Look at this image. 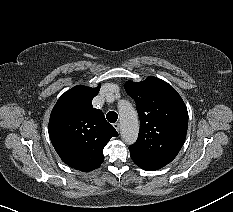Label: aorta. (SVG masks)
<instances>
[{
	"mask_svg": "<svg viewBox=\"0 0 233 212\" xmlns=\"http://www.w3.org/2000/svg\"><path fill=\"white\" fill-rule=\"evenodd\" d=\"M121 136L127 144H133L138 137L139 120L132 104L128 101L119 103Z\"/></svg>",
	"mask_w": 233,
	"mask_h": 212,
	"instance_id": "1",
	"label": "aorta"
}]
</instances>
